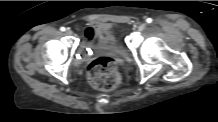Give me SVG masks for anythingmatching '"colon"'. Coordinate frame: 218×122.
Returning a JSON list of instances; mask_svg holds the SVG:
<instances>
[{"mask_svg": "<svg viewBox=\"0 0 218 122\" xmlns=\"http://www.w3.org/2000/svg\"><path fill=\"white\" fill-rule=\"evenodd\" d=\"M87 78L98 89L111 90L120 83L117 60L110 56L93 59L87 68Z\"/></svg>", "mask_w": 218, "mask_h": 122, "instance_id": "5ec220e1", "label": "colon"}]
</instances>
